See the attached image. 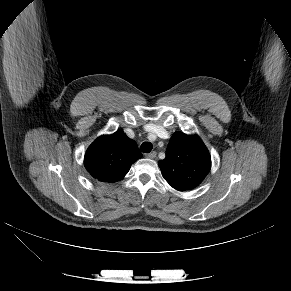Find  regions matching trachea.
I'll list each match as a JSON object with an SVG mask.
<instances>
[{
    "instance_id": "trachea-1",
    "label": "trachea",
    "mask_w": 291,
    "mask_h": 291,
    "mask_svg": "<svg viewBox=\"0 0 291 291\" xmlns=\"http://www.w3.org/2000/svg\"><path fill=\"white\" fill-rule=\"evenodd\" d=\"M152 148H153V146H152V144L150 142H143L141 144V146H140V150L143 153H149V152H151Z\"/></svg>"
}]
</instances>
